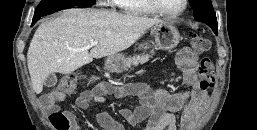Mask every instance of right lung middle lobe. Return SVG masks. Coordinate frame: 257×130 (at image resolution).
<instances>
[{
	"label": "right lung middle lobe",
	"instance_id": "obj_1",
	"mask_svg": "<svg viewBox=\"0 0 257 130\" xmlns=\"http://www.w3.org/2000/svg\"><path fill=\"white\" fill-rule=\"evenodd\" d=\"M94 2V0H42L35 10L33 22L37 21L43 15L72 5L91 7Z\"/></svg>",
	"mask_w": 257,
	"mask_h": 130
}]
</instances>
